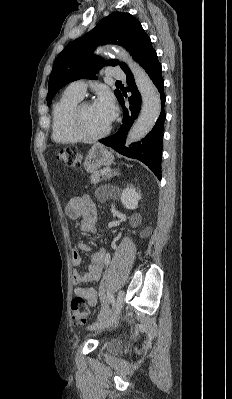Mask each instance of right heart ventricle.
Masks as SVG:
<instances>
[{
    "mask_svg": "<svg viewBox=\"0 0 232 399\" xmlns=\"http://www.w3.org/2000/svg\"><path fill=\"white\" fill-rule=\"evenodd\" d=\"M81 99L66 93L54 103L51 112V135L54 142L67 146L80 142L70 129V116Z\"/></svg>",
    "mask_w": 232,
    "mask_h": 399,
    "instance_id": "e07e8e85",
    "label": "right heart ventricle"
}]
</instances>
